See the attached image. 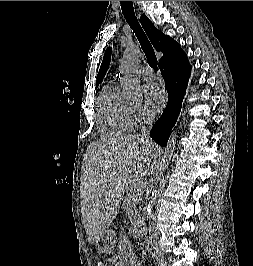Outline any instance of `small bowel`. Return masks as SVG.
I'll return each mask as SVG.
<instances>
[{
    "label": "small bowel",
    "instance_id": "c3829d8e",
    "mask_svg": "<svg viewBox=\"0 0 253 266\" xmlns=\"http://www.w3.org/2000/svg\"><path fill=\"white\" fill-rule=\"evenodd\" d=\"M110 263L112 265H115V266H117V265H120L121 266V265H123L125 263H127L129 265H134L133 260H127V259L124 260V257L121 254L116 255L113 258H111L110 259Z\"/></svg>",
    "mask_w": 253,
    "mask_h": 266
}]
</instances>
